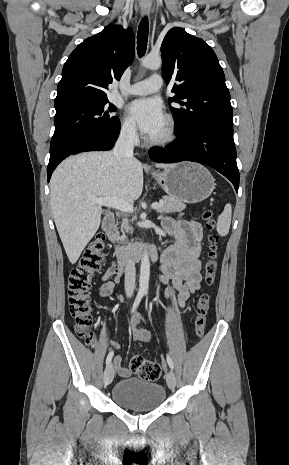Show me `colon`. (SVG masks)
<instances>
[{
  "label": "colon",
  "mask_w": 289,
  "mask_h": 465,
  "mask_svg": "<svg viewBox=\"0 0 289 465\" xmlns=\"http://www.w3.org/2000/svg\"><path fill=\"white\" fill-rule=\"evenodd\" d=\"M203 219L208 235V253L204 266V281L212 285L217 272L218 244L220 237L216 232L217 220L212 209L205 208ZM106 238L102 232L95 235L85 249L78 265L70 272L68 278L69 310L75 320V329L80 338L89 346H94L96 337L92 330L93 309L90 288L93 277L99 271L105 257ZM210 307V297L203 293L196 304L195 334L202 338L205 333L206 316ZM131 370L141 379L156 381L160 378L163 363L152 361L142 355H134L130 361Z\"/></svg>",
  "instance_id": "1"
}]
</instances>
